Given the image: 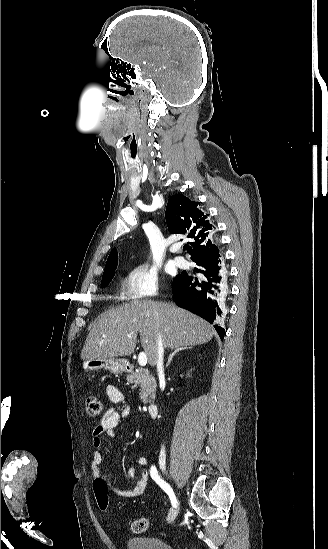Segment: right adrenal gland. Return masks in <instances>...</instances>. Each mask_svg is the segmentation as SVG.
<instances>
[{"mask_svg": "<svg viewBox=\"0 0 328 549\" xmlns=\"http://www.w3.org/2000/svg\"><path fill=\"white\" fill-rule=\"evenodd\" d=\"M184 349H191V347H182V349H176V351H174V353H172V355H170V357L168 359V365H169V363H171L174 355H176V353H179V351H184Z\"/></svg>", "mask_w": 328, "mask_h": 549, "instance_id": "right-adrenal-gland-1", "label": "right adrenal gland"}]
</instances>
